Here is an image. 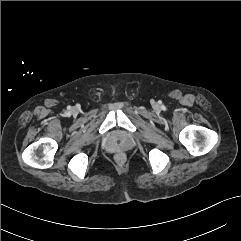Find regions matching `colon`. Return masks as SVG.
<instances>
[{"label": "colon", "instance_id": "5ec220e1", "mask_svg": "<svg viewBox=\"0 0 241 241\" xmlns=\"http://www.w3.org/2000/svg\"><path fill=\"white\" fill-rule=\"evenodd\" d=\"M118 158H119V159H122V155H119Z\"/></svg>", "mask_w": 241, "mask_h": 241}]
</instances>
